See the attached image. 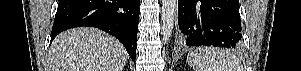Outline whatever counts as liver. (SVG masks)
Wrapping results in <instances>:
<instances>
[{
    "mask_svg": "<svg viewBox=\"0 0 301 71\" xmlns=\"http://www.w3.org/2000/svg\"><path fill=\"white\" fill-rule=\"evenodd\" d=\"M124 46L95 28H76L52 42L49 71H123L128 60Z\"/></svg>",
    "mask_w": 301,
    "mask_h": 71,
    "instance_id": "obj_1",
    "label": "liver"
}]
</instances>
